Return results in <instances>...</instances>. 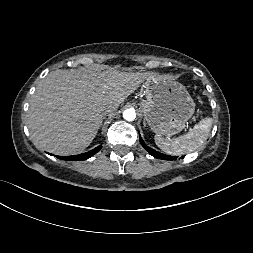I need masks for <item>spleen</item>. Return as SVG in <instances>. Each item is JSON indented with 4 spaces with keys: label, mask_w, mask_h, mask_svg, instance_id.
Returning a JSON list of instances; mask_svg holds the SVG:
<instances>
[{
    "label": "spleen",
    "mask_w": 253,
    "mask_h": 253,
    "mask_svg": "<svg viewBox=\"0 0 253 253\" xmlns=\"http://www.w3.org/2000/svg\"><path fill=\"white\" fill-rule=\"evenodd\" d=\"M212 122V118L202 119L191 131L173 139L156 134L155 143L169 155L179 156L193 152L208 139Z\"/></svg>",
    "instance_id": "spleen-1"
}]
</instances>
